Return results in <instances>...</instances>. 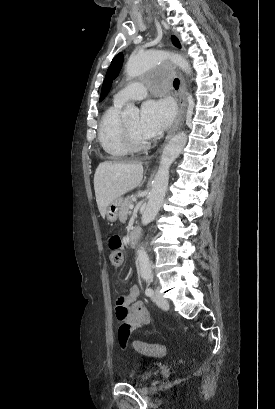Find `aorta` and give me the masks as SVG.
<instances>
[{
	"label": "aorta",
	"mask_w": 275,
	"mask_h": 409,
	"mask_svg": "<svg viewBox=\"0 0 275 409\" xmlns=\"http://www.w3.org/2000/svg\"><path fill=\"white\" fill-rule=\"evenodd\" d=\"M168 58H170L176 66H179L183 72L191 74V66L185 56L176 54V52H167L164 50L129 51L126 72L128 76L134 78V76H139V74H143V72L147 70L146 65H160L161 60H167ZM121 118H125V120H128V118H139V108H137L133 102H128L124 108V112L121 114ZM186 142L187 134L182 130V132L174 134L171 140H169L166 146H164L159 168L153 180V188L149 194L147 207L142 215V225H148V223H151V221L155 219L158 211H160L168 186L169 168L175 158L179 156L181 150H183ZM137 261L139 263V271L142 279L150 281V279H152L151 265L144 247H140L139 251H137Z\"/></svg>",
	"instance_id": "aorta-1"
}]
</instances>
